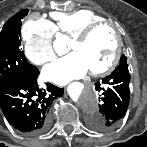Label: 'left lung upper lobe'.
I'll list each match as a JSON object with an SVG mask.
<instances>
[{
	"label": "left lung upper lobe",
	"instance_id": "5c2ea615",
	"mask_svg": "<svg viewBox=\"0 0 147 147\" xmlns=\"http://www.w3.org/2000/svg\"><path fill=\"white\" fill-rule=\"evenodd\" d=\"M127 63V57L123 54L120 59V64Z\"/></svg>",
	"mask_w": 147,
	"mask_h": 147
}]
</instances>
